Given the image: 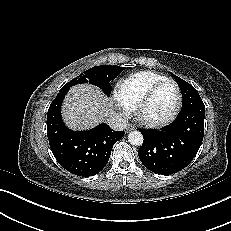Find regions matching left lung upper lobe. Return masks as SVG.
Wrapping results in <instances>:
<instances>
[{
  "label": "left lung upper lobe",
  "mask_w": 231,
  "mask_h": 231,
  "mask_svg": "<svg viewBox=\"0 0 231 231\" xmlns=\"http://www.w3.org/2000/svg\"><path fill=\"white\" fill-rule=\"evenodd\" d=\"M171 75L174 76V74L172 73ZM174 78L182 92V110H186L190 108L192 105H204L198 91L191 84L187 83L186 81L182 80L180 77L176 75L174 76Z\"/></svg>",
  "instance_id": "left-lung-upper-lobe-1"
}]
</instances>
